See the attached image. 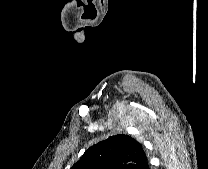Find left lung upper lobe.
<instances>
[{"label":"left lung upper lobe","instance_id":"left-lung-upper-lobe-1","mask_svg":"<svg viewBox=\"0 0 208 169\" xmlns=\"http://www.w3.org/2000/svg\"><path fill=\"white\" fill-rule=\"evenodd\" d=\"M147 164L141 144L119 134L91 146L70 169H144Z\"/></svg>","mask_w":208,"mask_h":169}]
</instances>
